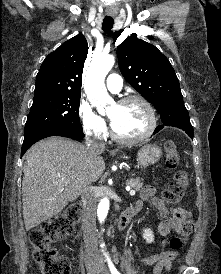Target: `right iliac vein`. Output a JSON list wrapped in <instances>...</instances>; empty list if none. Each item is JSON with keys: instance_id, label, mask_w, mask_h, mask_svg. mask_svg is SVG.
Wrapping results in <instances>:
<instances>
[{"instance_id": "63e3f726", "label": "right iliac vein", "mask_w": 221, "mask_h": 274, "mask_svg": "<svg viewBox=\"0 0 221 274\" xmlns=\"http://www.w3.org/2000/svg\"><path fill=\"white\" fill-rule=\"evenodd\" d=\"M97 268L95 265H90L87 268V274H96Z\"/></svg>"}]
</instances>
